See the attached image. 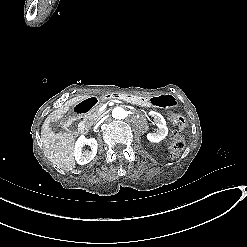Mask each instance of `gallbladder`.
<instances>
[{"instance_id": "bac80fb5", "label": "gallbladder", "mask_w": 247, "mask_h": 247, "mask_svg": "<svg viewBox=\"0 0 247 247\" xmlns=\"http://www.w3.org/2000/svg\"><path fill=\"white\" fill-rule=\"evenodd\" d=\"M43 127L45 129H49L51 133H60L62 131V128L60 127V124L58 122L53 123L51 120H48L43 124Z\"/></svg>"}]
</instances>
